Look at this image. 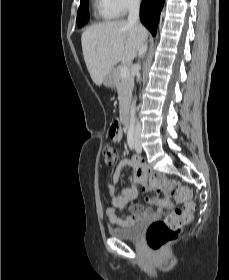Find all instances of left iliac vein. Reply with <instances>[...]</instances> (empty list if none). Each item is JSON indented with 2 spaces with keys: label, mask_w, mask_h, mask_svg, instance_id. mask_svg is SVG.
I'll list each match as a JSON object with an SVG mask.
<instances>
[{
  "label": "left iliac vein",
  "mask_w": 229,
  "mask_h": 280,
  "mask_svg": "<svg viewBox=\"0 0 229 280\" xmlns=\"http://www.w3.org/2000/svg\"><path fill=\"white\" fill-rule=\"evenodd\" d=\"M135 150H136L137 153H141L142 152V147H141V144H140V140L138 138H136Z\"/></svg>",
  "instance_id": "left-iliac-vein-1"
}]
</instances>
